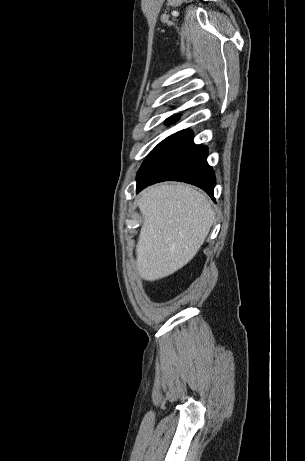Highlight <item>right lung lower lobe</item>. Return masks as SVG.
<instances>
[{"mask_svg": "<svg viewBox=\"0 0 305 461\" xmlns=\"http://www.w3.org/2000/svg\"><path fill=\"white\" fill-rule=\"evenodd\" d=\"M207 155L205 146L193 143L190 130L167 137L142 163L136 192L161 181H181L203 189L214 199L215 175L207 163Z\"/></svg>", "mask_w": 305, "mask_h": 461, "instance_id": "1", "label": "right lung lower lobe"}]
</instances>
